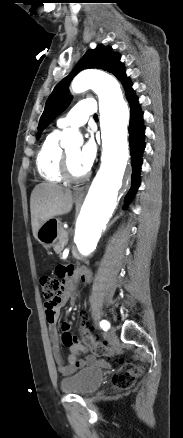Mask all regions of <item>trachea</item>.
<instances>
[{"label":"trachea","instance_id":"trachea-1","mask_svg":"<svg viewBox=\"0 0 183 438\" xmlns=\"http://www.w3.org/2000/svg\"><path fill=\"white\" fill-rule=\"evenodd\" d=\"M94 118H98V115H97V114H95V115H94Z\"/></svg>","mask_w":183,"mask_h":438}]
</instances>
